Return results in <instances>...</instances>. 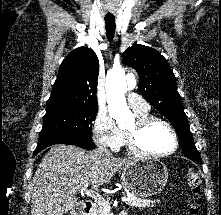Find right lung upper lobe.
<instances>
[{
    "mask_svg": "<svg viewBox=\"0 0 221 215\" xmlns=\"http://www.w3.org/2000/svg\"><path fill=\"white\" fill-rule=\"evenodd\" d=\"M99 61L86 47L73 50L61 63L46 114L66 109H97Z\"/></svg>",
    "mask_w": 221,
    "mask_h": 215,
    "instance_id": "cb5924a9",
    "label": "right lung upper lobe"
}]
</instances>
